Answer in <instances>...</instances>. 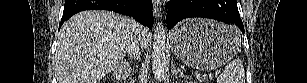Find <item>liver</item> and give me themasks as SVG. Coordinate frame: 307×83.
Segmentation results:
<instances>
[{"label": "liver", "instance_id": "1", "mask_svg": "<svg viewBox=\"0 0 307 83\" xmlns=\"http://www.w3.org/2000/svg\"><path fill=\"white\" fill-rule=\"evenodd\" d=\"M147 48L150 33L137 28ZM133 35L131 20L108 11H83L66 21L59 32L55 74L58 83H98L122 62Z\"/></svg>", "mask_w": 307, "mask_h": 83}]
</instances>
